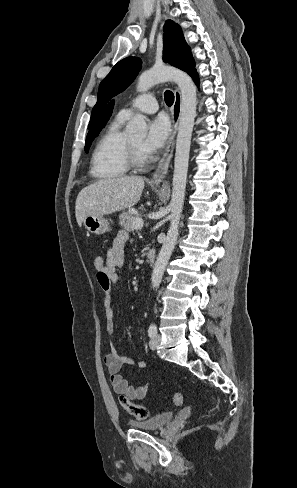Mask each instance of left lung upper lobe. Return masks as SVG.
<instances>
[{
  "label": "left lung upper lobe",
  "instance_id": "1",
  "mask_svg": "<svg viewBox=\"0 0 297 488\" xmlns=\"http://www.w3.org/2000/svg\"><path fill=\"white\" fill-rule=\"evenodd\" d=\"M164 61L187 72L197 74L190 48L185 42L181 28L171 20L164 25ZM142 62L137 57H128L119 61L103 79L99 86L98 100L93 107L90 124L113 96L125 90L141 70Z\"/></svg>",
  "mask_w": 297,
  "mask_h": 488
}]
</instances>
